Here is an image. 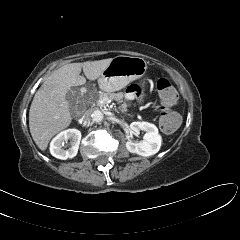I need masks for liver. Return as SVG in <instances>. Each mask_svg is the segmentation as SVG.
<instances>
[{"instance_id":"1","label":"liver","mask_w":240,"mask_h":240,"mask_svg":"<svg viewBox=\"0 0 240 240\" xmlns=\"http://www.w3.org/2000/svg\"><path fill=\"white\" fill-rule=\"evenodd\" d=\"M113 58L71 63L55 70L36 92L29 110V128L32 138L40 150L48 147L51 138L67 128L72 116L66 99L70 87L93 81L101 76Z\"/></svg>"}]
</instances>
